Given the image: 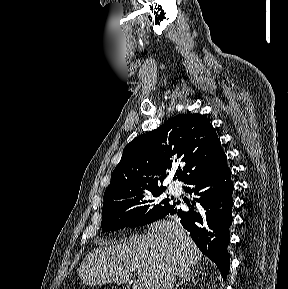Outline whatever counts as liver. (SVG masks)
<instances>
[{"label":"liver","instance_id":"6515ba94","mask_svg":"<svg viewBox=\"0 0 288 289\" xmlns=\"http://www.w3.org/2000/svg\"><path fill=\"white\" fill-rule=\"evenodd\" d=\"M201 258L202 253L180 223L161 220L152 223L144 236L99 242L82 261L78 274L84 284L96 286L124 284L134 273L140 289H162L167 274L182 276Z\"/></svg>","mask_w":288,"mask_h":289}]
</instances>
